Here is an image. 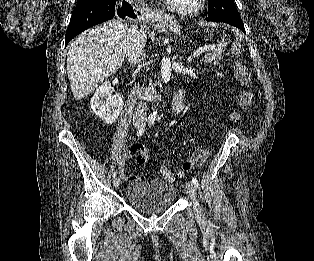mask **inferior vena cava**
Instances as JSON below:
<instances>
[{
  "instance_id": "obj_1",
  "label": "inferior vena cava",
  "mask_w": 314,
  "mask_h": 261,
  "mask_svg": "<svg viewBox=\"0 0 314 261\" xmlns=\"http://www.w3.org/2000/svg\"><path fill=\"white\" fill-rule=\"evenodd\" d=\"M144 48V32L139 30L136 25H132L128 28L126 37V57L132 65H136L146 58L143 51ZM147 111V105L145 102H140L134 112V119H145Z\"/></svg>"
}]
</instances>
